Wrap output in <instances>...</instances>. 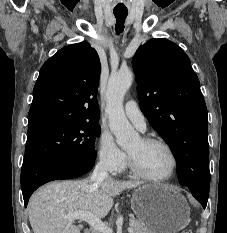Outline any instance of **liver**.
Segmentation results:
<instances>
[{
  "label": "liver",
  "instance_id": "1",
  "mask_svg": "<svg viewBox=\"0 0 227 233\" xmlns=\"http://www.w3.org/2000/svg\"><path fill=\"white\" fill-rule=\"evenodd\" d=\"M138 181H118L110 178L99 184L89 179L49 183L32 195L28 217L34 233H80L83 226L73 225L65 215L90 212L98 218L108 214L113 197L125 189L140 187Z\"/></svg>",
  "mask_w": 227,
  "mask_h": 233
}]
</instances>
